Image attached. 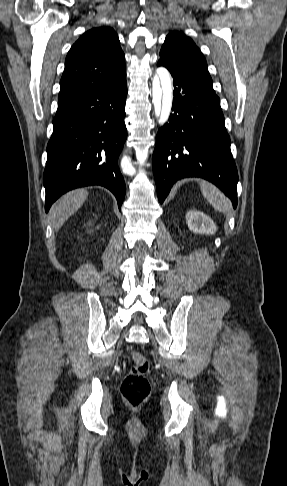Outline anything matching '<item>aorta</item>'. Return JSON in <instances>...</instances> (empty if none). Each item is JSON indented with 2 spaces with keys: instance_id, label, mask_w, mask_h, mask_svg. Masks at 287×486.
<instances>
[{
  "instance_id": "762f6f07",
  "label": "aorta",
  "mask_w": 287,
  "mask_h": 486,
  "mask_svg": "<svg viewBox=\"0 0 287 486\" xmlns=\"http://www.w3.org/2000/svg\"><path fill=\"white\" fill-rule=\"evenodd\" d=\"M172 78L168 70L162 68L156 74L152 82V102L154 105L155 116L159 118L161 124H165L170 116L173 100ZM123 172L133 176L135 169L128 160L122 163Z\"/></svg>"
}]
</instances>
